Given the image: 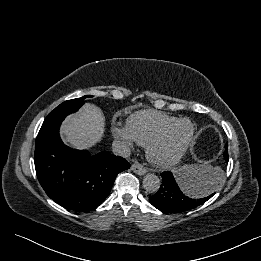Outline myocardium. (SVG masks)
<instances>
[{
  "instance_id": "myocardium-1",
  "label": "myocardium",
  "mask_w": 261,
  "mask_h": 261,
  "mask_svg": "<svg viewBox=\"0 0 261 261\" xmlns=\"http://www.w3.org/2000/svg\"><path fill=\"white\" fill-rule=\"evenodd\" d=\"M181 123H188L191 127L190 133L184 142V144L172 155L170 156H160L158 154L159 146L166 140L169 134ZM196 127L195 124L187 119V118H180L175 120L173 123L165 127L161 132H159L146 146V155L149 161L161 168L171 167L177 164L183 156L188 151L189 147L191 146L194 137H195Z\"/></svg>"
}]
</instances>
